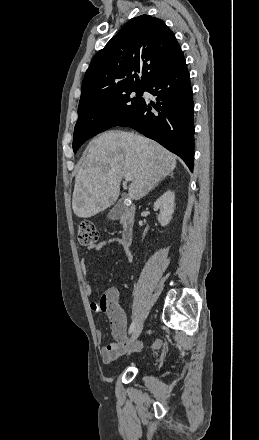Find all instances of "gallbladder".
I'll return each instance as SVG.
<instances>
[{"mask_svg":"<svg viewBox=\"0 0 259 440\" xmlns=\"http://www.w3.org/2000/svg\"><path fill=\"white\" fill-rule=\"evenodd\" d=\"M126 210V206L123 200H119L108 212V219L110 220H118Z\"/></svg>","mask_w":259,"mask_h":440,"instance_id":"obj_1","label":"gallbladder"}]
</instances>
